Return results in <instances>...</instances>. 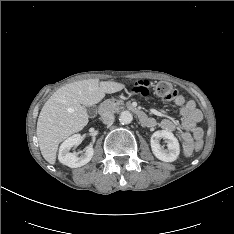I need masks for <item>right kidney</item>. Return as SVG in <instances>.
<instances>
[{
  "label": "right kidney",
  "instance_id": "right-kidney-1",
  "mask_svg": "<svg viewBox=\"0 0 234 234\" xmlns=\"http://www.w3.org/2000/svg\"><path fill=\"white\" fill-rule=\"evenodd\" d=\"M81 141V135L74 134L61 144L58 159L62 164L70 168H77L87 164L92 159L94 154V149L92 147L86 148L85 152L80 157L70 152L71 148L79 145Z\"/></svg>",
  "mask_w": 234,
  "mask_h": 234
}]
</instances>
